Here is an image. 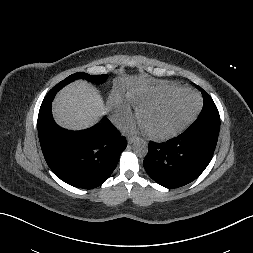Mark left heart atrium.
Returning a JSON list of instances; mask_svg holds the SVG:
<instances>
[{
	"instance_id": "left-heart-atrium-1",
	"label": "left heart atrium",
	"mask_w": 253,
	"mask_h": 253,
	"mask_svg": "<svg viewBox=\"0 0 253 253\" xmlns=\"http://www.w3.org/2000/svg\"><path fill=\"white\" fill-rule=\"evenodd\" d=\"M133 130H145L148 131L145 127V125L140 121V123L137 126H132Z\"/></svg>"
}]
</instances>
